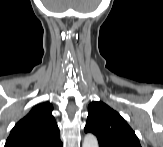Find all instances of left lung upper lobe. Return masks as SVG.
Masks as SVG:
<instances>
[{"label": "left lung upper lobe", "mask_w": 163, "mask_h": 147, "mask_svg": "<svg viewBox=\"0 0 163 147\" xmlns=\"http://www.w3.org/2000/svg\"><path fill=\"white\" fill-rule=\"evenodd\" d=\"M84 131L96 135L99 147H141L127 122L117 111L101 101L89 104Z\"/></svg>", "instance_id": "5c2ea615"}]
</instances>
